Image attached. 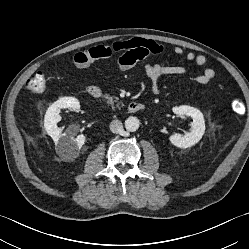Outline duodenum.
<instances>
[{
  "label": "duodenum",
  "mask_w": 249,
  "mask_h": 249,
  "mask_svg": "<svg viewBox=\"0 0 249 249\" xmlns=\"http://www.w3.org/2000/svg\"><path fill=\"white\" fill-rule=\"evenodd\" d=\"M87 94L94 98L100 99L102 97V90L97 86H89L87 88ZM145 110V104L143 102H130L128 105V111L130 113H139Z\"/></svg>",
  "instance_id": "obj_1"
}]
</instances>
